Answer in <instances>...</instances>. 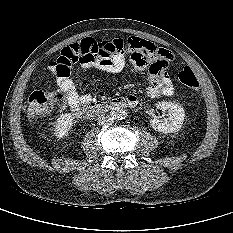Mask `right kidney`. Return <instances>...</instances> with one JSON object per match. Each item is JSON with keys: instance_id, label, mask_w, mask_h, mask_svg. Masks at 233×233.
<instances>
[{"instance_id": "1", "label": "right kidney", "mask_w": 233, "mask_h": 233, "mask_svg": "<svg viewBox=\"0 0 233 233\" xmlns=\"http://www.w3.org/2000/svg\"><path fill=\"white\" fill-rule=\"evenodd\" d=\"M74 117L69 114H61L56 121L55 125V136L57 138H64L69 134L70 128L72 127Z\"/></svg>"}]
</instances>
